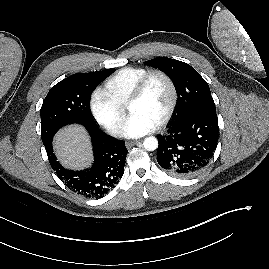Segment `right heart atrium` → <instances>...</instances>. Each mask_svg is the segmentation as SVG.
I'll return each mask as SVG.
<instances>
[{"mask_svg": "<svg viewBox=\"0 0 269 269\" xmlns=\"http://www.w3.org/2000/svg\"><path fill=\"white\" fill-rule=\"evenodd\" d=\"M91 113L95 120L109 133L120 136L125 121L124 109L118 105L102 88H96L89 100Z\"/></svg>", "mask_w": 269, "mask_h": 269, "instance_id": "obj_1", "label": "right heart atrium"}]
</instances>
